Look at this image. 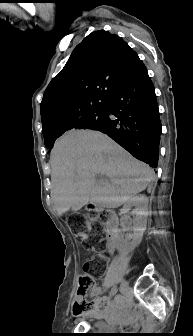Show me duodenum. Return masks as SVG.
Wrapping results in <instances>:
<instances>
[{
  "label": "duodenum",
  "mask_w": 193,
  "mask_h": 336,
  "mask_svg": "<svg viewBox=\"0 0 193 336\" xmlns=\"http://www.w3.org/2000/svg\"><path fill=\"white\" fill-rule=\"evenodd\" d=\"M118 226V219L116 216L112 215L110 217L109 223H108V230H109V242L107 245V250L109 253H112L114 251V236L113 233L115 229Z\"/></svg>",
  "instance_id": "obj_1"
}]
</instances>
